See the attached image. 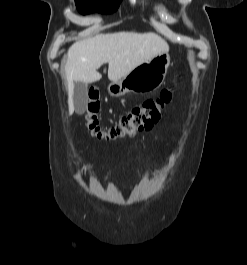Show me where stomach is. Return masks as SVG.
Here are the masks:
<instances>
[{"instance_id":"obj_1","label":"stomach","mask_w":247,"mask_h":265,"mask_svg":"<svg viewBox=\"0 0 247 265\" xmlns=\"http://www.w3.org/2000/svg\"><path fill=\"white\" fill-rule=\"evenodd\" d=\"M170 66V55L162 52L137 66L129 74L108 86L111 96L120 97L127 93H143L158 89L164 82Z\"/></svg>"}]
</instances>
